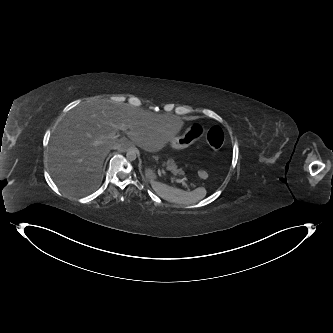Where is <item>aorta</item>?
I'll list each match as a JSON object with an SVG mask.
<instances>
[{
	"label": "aorta",
	"mask_w": 333,
	"mask_h": 333,
	"mask_svg": "<svg viewBox=\"0 0 333 333\" xmlns=\"http://www.w3.org/2000/svg\"><path fill=\"white\" fill-rule=\"evenodd\" d=\"M126 158L129 161H134L137 158V153L134 149H129L126 153Z\"/></svg>",
	"instance_id": "aorta-1"
}]
</instances>
